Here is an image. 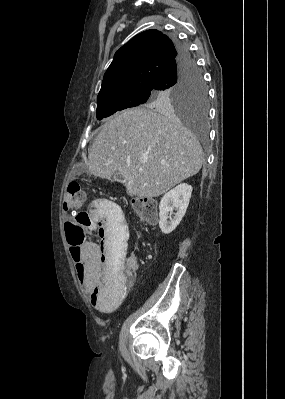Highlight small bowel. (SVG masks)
Returning <instances> with one entry per match:
<instances>
[{"instance_id":"obj_1","label":"small bowel","mask_w":285,"mask_h":399,"mask_svg":"<svg viewBox=\"0 0 285 399\" xmlns=\"http://www.w3.org/2000/svg\"><path fill=\"white\" fill-rule=\"evenodd\" d=\"M108 210V218L103 213ZM91 219L87 229L100 237L98 242H84L80 246L76 267H82V285L90 291V302L97 311L110 312L124 298L132 280L119 278L123 268L132 272L136 257L125 252L115 254V246H126L128 225L123 214L106 198L94 199L88 207Z\"/></svg>"}]
</instances>
